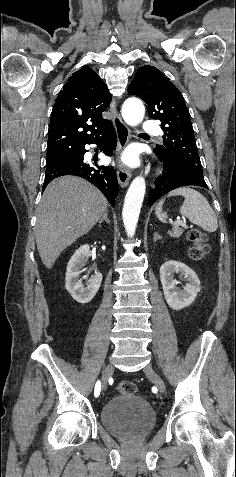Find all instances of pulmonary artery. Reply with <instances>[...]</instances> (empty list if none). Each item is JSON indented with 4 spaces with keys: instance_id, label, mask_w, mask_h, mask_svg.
<instances>
[{
    "instance_id": "pulmonary-artery-1",
    "label": "pulmonary artery",
    "mask_w": 236,
    "mask_h": 477,
    "mask_svg": "<svg viewBox=\"0 0 236 477\" xmlns=\"http://www.w3.org/2000/svg\"><path fill=\"white\" fill-rule=\"evenodd\" d=\"M142 131L144 133H148V134H155V135H158L159 132H160V128L158 126V124L154 121H147L143 124L142 126Z\"/></svg>"
}]
</instances>
